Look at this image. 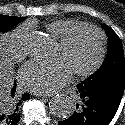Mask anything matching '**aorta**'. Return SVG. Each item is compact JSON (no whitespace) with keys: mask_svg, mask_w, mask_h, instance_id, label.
I'll use <instances>...</instances> for the list:
<instances>
[{"mask_svg":"<svg viewBox=\"0 0 125 125\" xmlns=\"http://www.w3.org/2000/svg\"><path fill=\"white\" fill-rule=\"evenodd\" d=\"M30 48L31 54L35 58L45 60L52 56L54 43L52 39L45 34L37 33L32 37ZM49 108L55 116L68 118L75 110V102L67 95H57L50 100Z\"/></svg>","mask_w":125,"mask_h":125,"instance_id":"1","label":"aorta"}]
</instances>
